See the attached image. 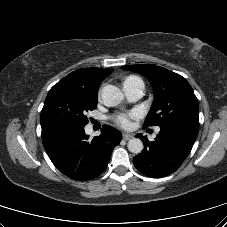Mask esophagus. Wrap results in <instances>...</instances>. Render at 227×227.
Here are the masks:
<instances>
[{"label":"esophagus","instance_id":"obj_1","mask_svg":"<svg viewBox=\"0 0 227 227\" xmlns=\"http://www.w3.org/2000/svg\"><path fill=\"white\" fill-rule=\"evenodd\" d=\"M132 138H133L132 134H129V133H124L123 134V139L126 140V141H128V140H130Z\"/></svg>","mask_w":227,"mask_h":227}]
</instances>
